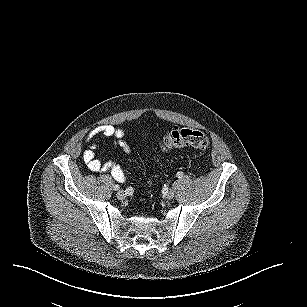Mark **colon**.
<instances>
[{
    "label": "colon",
    "instance_id": "1",
    "mask_svg": "<svg viewBox=\"0 0 307 307\" xmlns=\"http://www.w3.org/2000/svg\"><path fill=\"white\" fill-rule=\"evenodd\" d=\"M210 140L206 134L201 131L181 128L171 131L166 135L161 143L163 151H169L175 148L194 147L200 150L207 149Z\"/></svg>",
    "mask_w": 307,
    "mask_h": 307
}]
</instances>
